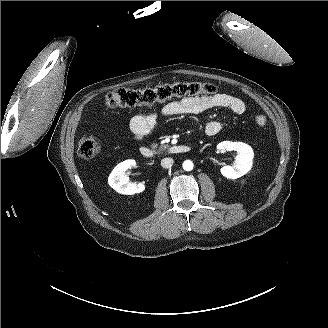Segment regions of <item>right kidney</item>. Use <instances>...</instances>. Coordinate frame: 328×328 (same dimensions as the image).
I'll return each mask as SVG.
<instances>
[{"label": "right kidney", "mask_w": 328, "mask_h": 328, "mask_svg": "<svg viewBox=\"0 0 328 328\" xmlns=\"http://www.w3.org/2000/svg\"><path fill=\"white\" fill-rule=\"evenodd\" d=\"M136 166L135 160L129 159L119 163L108 177V184L118 193L132 195L145 190L143 183L130 182L126 171Z\"/></svg>", "instance_id": "1"}]
</instances>
